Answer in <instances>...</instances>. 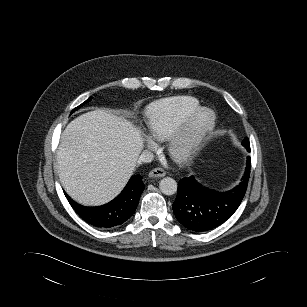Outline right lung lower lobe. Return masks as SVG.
<instances>
[{
    "label": "right lung lower lobe",
    "instance_id": "right-lung-lower-lobe-1",
    "mask_svg": "<svg viewBox=\"0 0 307 307\" xmlns=\"http://www.w3.org/2000/svg\"><path fill=\"white\" fill-rule=\"evenodd\" d=\"M144 187L140 175L132 176L120 195L98 207H85L74 202L66 194L65 196L84 221L94 227L107 229L121 225L133 215Z\"/></svg>",
    "mask_w": 307,
    "mask_h": 307
}]
</instances>
